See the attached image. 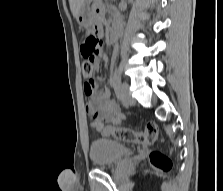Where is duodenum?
Segmentation results:
<instances>
[{
    "mask_svg": "<svg viewBox=\"0 0 223 191\" xmlns=\"http://www.w3.org/2000/svg\"><path fill=\"white\" fill-rule=\"evenodd\" d=\"M120 35V28L118 25H114L110 30V41L114 42Z\"/></svg>",
    "mask_w": 223,
    "mask_h": 191,
    "instance_id": "obj_1",
    "label": "duodenum"
}]
</instances>
